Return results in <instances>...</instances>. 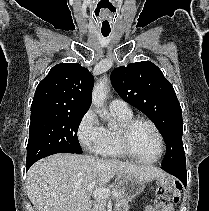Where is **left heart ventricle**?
<instances>
[{"label": "left heart ventricle", "mask_w": 209, "mask_h": 211, "mask_svg": "<svg viewBox=\"0 0 209 211\" xmlns=\"http://www.w3.org/2000/svg\"><path fill=\"white\" fill-rule=\"evenodd\" d=\"M130 145L132 151L143 160H152L159 153V140L155 131L141 123L132 132Z\"/></svg>", "instance_id": "b2bd125f"}]
</instances>
